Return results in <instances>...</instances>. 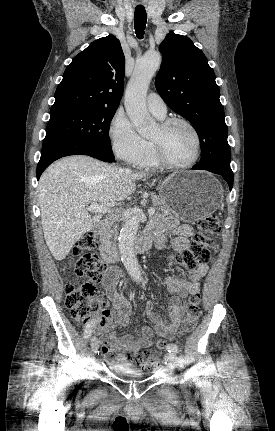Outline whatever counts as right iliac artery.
<instances>
[{
  "label": "right iliac artery",
  "mask_w": 275,
  "mask_h": 431,
  "mask_svg": "<svg viewBox=\"0 0 275 431\" xmlns=\"http://www.w3.org/2000/svg\"><path fill=\"white\" fill-rule=\"evenodd\" d=\"M96 321L95 320H91L89 321L84 329V338L85 339H89L90 336L92 335L93 329L95 327Z\"/></svg>",
  "instance_id": "82829eb1"
}]
</instances>
